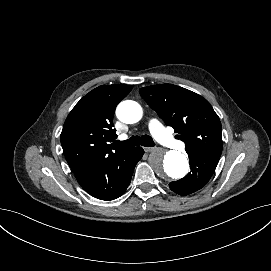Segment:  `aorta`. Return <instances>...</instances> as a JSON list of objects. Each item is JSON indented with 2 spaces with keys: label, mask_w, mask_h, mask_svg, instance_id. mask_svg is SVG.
Instances as JSON below:
<instances>
[{
  "label": "aorta",
  "mask_w": 271,
  "mask_h": 271,
  "mask_svg": "<svg viewBox=\"0 0 271 271\" xmlns=\"http://www.w3.org/2000/svg\"><path fill=\"white\" fill-rule=\"evenodd\" d=\"M141 106L131 100L121 102L117 109L118 119L127 124L138 122L142 118ZM149 163L158 176L165 179H179L189 171V163L186 156L175 150H155L149 155Z\"/></svg>",
  "instance_id": "762f6f07"
}]
</instances>
